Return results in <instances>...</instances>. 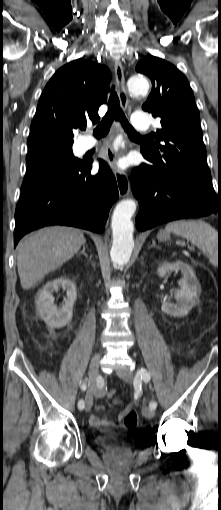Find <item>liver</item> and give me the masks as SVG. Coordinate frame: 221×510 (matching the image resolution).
<instances>
[{
    "label": "liver",
    "instance_id": "1",
    "mask_svg": "<svg viewBox=\"0 0 221 510\" xmlns=\"http://www.w3.org/2000/svg\"><path fill=\"white\" fill-rule=\"evenodd\" d=\"M86 242L82 231L63 226L45 227L24 237L17 247V269L24 290L71 259Z\"/></svg>",
    "mask_w": 221,
    "mask_h": 510
}]
</instances>
